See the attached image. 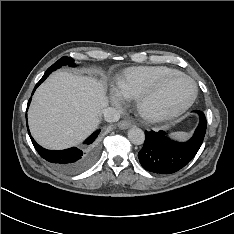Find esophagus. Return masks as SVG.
<instances>
[{"instance_id":"1","label":"esophagus","mask_w":234,"mask_h":234,"mask_svg":"<svg viewBox=\"0 0 234 234\" xmlns=\"http://www.w3.org/2000/svg\"><path fill=\"white\" fill-rule=\"evenodd\" d=\"M132 126V122L128 119H124V120H121L119 123H118V127L120 129H127L129 127Z\"/></svg>"}]
</instances>
